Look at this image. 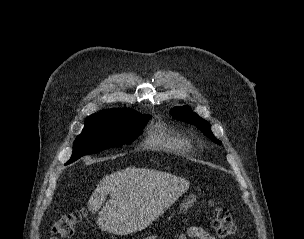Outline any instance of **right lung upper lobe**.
I'll use <instances>...</instances> for the list:
<instances>
[{
	"instance_id": "obj_1",
	"label": "right lung upper lobe",
	"mask_w": 304,
	"mask_h": 239,
	"mask_svg": "<svg viewBox=\"0 0 304 239\" xmlns=\"http://www.w3.org/2000/svg\"><path fill=\"white\" fill-rule=\"evenodd\" d=\"M132 109L126 108V109H121V108H114V109H106L102 110L96 114H93L89 117H115V116H121L125 114L126 112L130 111Z\"/></svg>"
}]
</instances>
